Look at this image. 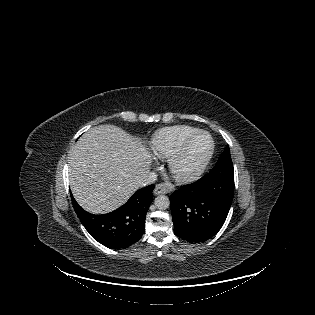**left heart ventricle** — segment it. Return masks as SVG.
<instances>
[{
    "mask_svg": "<svg viewBox=\"0 0 315 315\" xmlns=\"http://www.w3.org/2000/svg\"><path fill=\"white\" fill-rule=\"evenodd\" d=\"M209 148V139L205 135L196 137L191 143L187 154L181 162V167L184 169L191 168L198 164L205 156Z\"/></svg>",
    "mask_w": 315,
    "mask_h": 315,
    "instance_id": "obj_1",
    "label": "left heart ventricle"
}]
</instances>
